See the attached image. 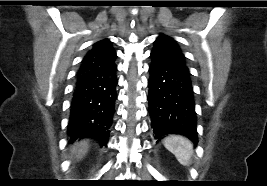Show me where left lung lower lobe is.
I'll return each instance as SVG.
<instances>
[{
    "instance_id": "obj_1",
    "label": "left lung lower lobe",
    "mask_w": 267,
    "mask_h": 186,
    "mask_svg": "<svg viewBox=\"0 0 267 186\" xmlns=\"http://www.w3.org/2000/svg\"><path fill=\"white\" fill-rule=\"evenodd\" d=\"M149 113L156 139L181 134L197 144V118L189 71L151 54Z\"/></svg>"
}]
</instances>
